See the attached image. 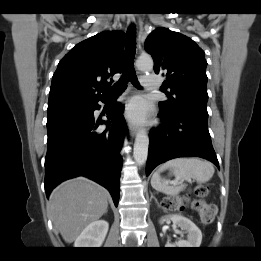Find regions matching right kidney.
<instances>
[{
	"instance_id": "1",
	"label": "right kidney",
	"mask_w": 261,
	"mask_h": 261,
	"mask_svg": "<svg viewBox=\"0 0 261 261\" xmlns=\"http://www.w3.org/2000/svg\"><path fill=\"white\" fill-rule=\"evenodd\" d=\"M109 229L105 220H97L90 223L77 237L75 248H99L103 244Z\"/></svg>"
}]
</instances>
